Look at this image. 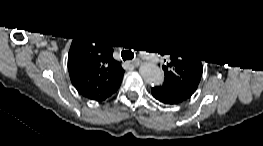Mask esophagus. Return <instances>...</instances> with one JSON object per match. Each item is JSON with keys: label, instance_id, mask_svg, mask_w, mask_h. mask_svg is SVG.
<instances>
[{"label": "esophagus", "instance_id": "obj_1", "mask_svg": "<svg viewBox=\"0 0 263 146\" xmlns=\"http://www.w3.org/2000/svg\"><path fill=\"white\" fill-rule=\"evenodd\" d=\"M141 64V61L137 58L132 61V65L134 67H138Z\"/></svg>", "mask_w": 263, "mask_h": 146}]
</instances>
